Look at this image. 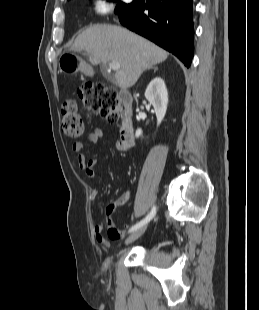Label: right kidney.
Returning <instances> with one entry per match:
<instances>
[{
    "instance_id": "right-kidney-1",
    "label": "right kidney",
    "mask_w": 259,
    "mask_h": 310,
    "mask_svg": "<svg viewBox=\"0 0 259 310\" xmlns=\"http://www.w3.org/2000/svg\"><path fill=\"white\" fill-rule=\"evenodd\" d=\"M145 97L153 105L157 117V125H160L166 114L168 103V92L163 79L160 77L154 78L147 86ZM140 135H142V130L138 129L136 137Z\"/></svg>"
}]
</instances>
